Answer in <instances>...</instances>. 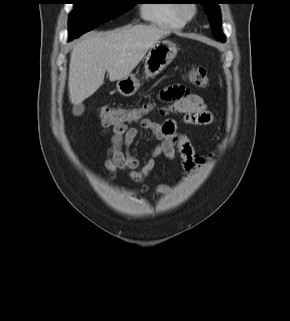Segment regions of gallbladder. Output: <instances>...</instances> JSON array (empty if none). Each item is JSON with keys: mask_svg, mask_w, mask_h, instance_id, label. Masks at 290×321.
Listing matches in <instances>:
<instances>
[{"mask_svg": "<svg viewBox=\"0 0 290 321\" xmlns=\"http://www.w3.org/2000/svg\"><path fill=\"white\" fill-rule=\"evenodd\" d=\"M83 112L84 105L82 103L73 105L72 113L74 116H80Z\"/></svg>", "mask_w": 290, "mask_h": 321, "instance_id": "bac80fb5", "label": "gallbladder"}]
</instances>
